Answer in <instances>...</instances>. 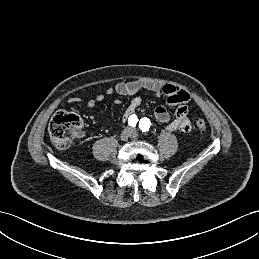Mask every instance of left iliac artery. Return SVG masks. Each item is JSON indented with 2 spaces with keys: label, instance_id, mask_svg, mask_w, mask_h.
<instances>
[{
  "label": "left iliac artery",
  "instance_id": "44dca946",
  "mask_svg": "<svg viewBox=\"0 0 259 259\" xmlns=\"http://www.w3.org/2000/svg\"><path fill=\"white\" fill-rule=\"evenodd\" d=\"M150 125H151V122L148 118L144 117L142 118L140 121H139V126H140V129L142 130V132H147L149 131V128H150Z\"/></svg>",
  "mask_w": 259,
  "mask_h": 259
}]
</instances>
